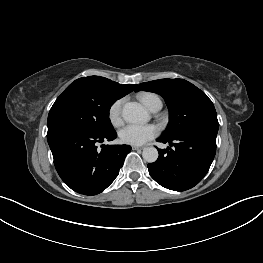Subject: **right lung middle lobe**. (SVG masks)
Returning <instances> with one entry per match:
<instances>
[{
	"instance_id": "right-lung-middle-lobe-1",
	"label": "right lung middle lobe",
	"mask_w": 263,
	"mask_h": 263,
	"mask_svg": "<svg viewBox=\"0 0 263 263\" xmlns=\"http://www.w3.org/2000/svg\"><path fill=\"white\" fill-rule=\"evenodd\" d=\"M116 100L117 97L99 87L74 81L50 109L47 135L63 130H82L100 135L114 132L109 110Z\"/></svg>"
}]
</instances>
